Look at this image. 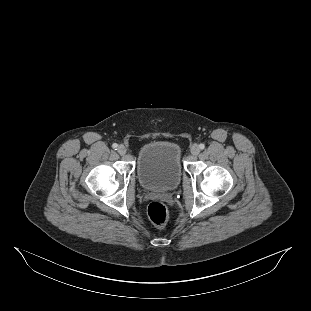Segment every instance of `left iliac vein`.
Listing matches in <instances>:
<instances>
[{
	"mask_svg": "<svg viewBox=\"0 0 311 311\" xmlns=\"http://www.w3.org/2000/svg\"><path fill=\"white\" fill-rule=\"evenodd\" d=\"M199 152H200L199 146L197 144L192 145V147H191L192 155L197 156L199 154Z\"/></svg>",
	"mask_w": 311,
	"mask_h": 311,
	"instance_id": "left-iliac-vein-1",
	"label": "left iliac vein"
}]
</instances>
